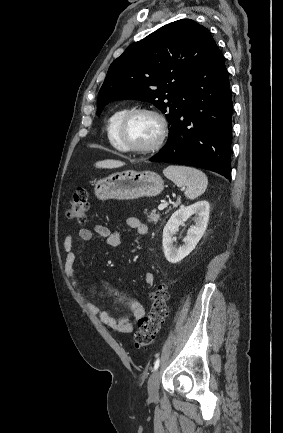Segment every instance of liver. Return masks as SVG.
<instances>
[{"label": "liver", "instance_id": "obj_1", "mask_svg": "<svg viewBox=\"0 0 283 433\" xmlns=\"http://www.w3.org/2000/svg\"><path fill=\"white\" fill-rule=\"evenodd\" d=\"M125 162L122 160H111V158H107V160H98L95 162V166L97 168H117V166H123Z\"/></svg>", "mask_w": 283, "mask_h": 433}]
</instances>
